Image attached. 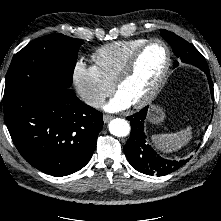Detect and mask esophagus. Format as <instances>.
<instances>
[{
	"label": "esophagus",
	"mask_w": 221,
	"mask_h": 221,
	"mask_svg": "<svg viewBox=\"0 0 221 221\" xmlns=\"http://www.w3.org/2000/svg\"><path fill=\"white\" fill-rule=\"evenodd\" d=\"M112 118H113V116H111V115H104L103 121H104V123H108Z\"/></svg>",
	"instance_id": "1"
}]
</instances>
